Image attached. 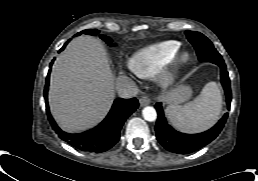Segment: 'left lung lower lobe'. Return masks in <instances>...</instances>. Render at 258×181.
I'll use <instances>...</instances> for the list:
<instances>
[{
  "label": "left lung lower lobe",
  "instance_id": "1",
  "mask_svg": "<svg viewBox=\"0 0 258 181\" xmlns=\"http://www.w3.org/2000/svg\"><path fill=\"white\" fill-rule=\"evenodd\" d=\"M218 66L221 68V83L226 94V103L229 109L231 102L230 79L225 63H220ZM155 108L158 112V119L155 126L157 140L167 151L178 154L192 153L213 141L223 129L228 116V113H226L208 131L199 134H184L177 132L167 124L160 102L155 105Z\"/></svg>",
  "mask_w": 258,
  "mask_h": 181
}]
</instances>
